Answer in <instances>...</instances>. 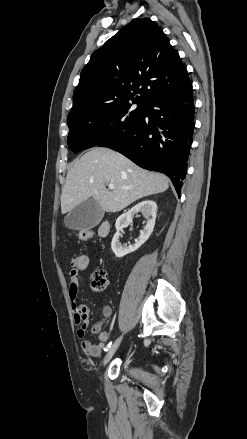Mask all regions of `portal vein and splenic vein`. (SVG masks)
<instances>
[{
    "label": "portal vein and splenic vein",
    "mask_w": 247,
    "mask_h": 439,
    "mask_svg": "<svg viewBox=\"0 0 247 439\" xmlns=\"http://www.w3.org/2000/svg\"><path fill=\"white\" fill-rule=\"evenodd\" d=\"M108 188H109L110 190L114 189V184H112V183L108 184Z\"/></svg>",
    "instance_id": "portal-vein-and-splenic-vein-1"
}]
</instances>
